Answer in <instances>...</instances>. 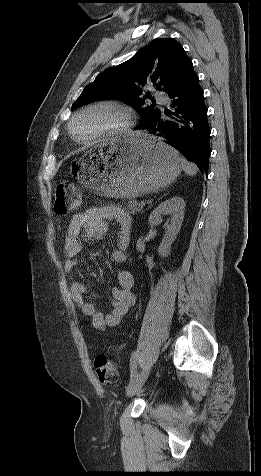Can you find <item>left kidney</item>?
Returning a JSON list of instances; mask_svg holds the SVG:
<instances>
[{"mask_svg":"<svg viewBox=\"0 0 261 476\" xmlns=\"http://www.w3.org/2000/svg\"><path fill=\"white\" fill-rule=\"evenodd\" d=\"M185 205L183 198L174 196L161 202L149 216V224L156 226L161 224L163 215H171V219L164 225L166 232L157 250L160 257L164 258L170 254L171 245L181 229Z\"/></svg>","mask_w":261,"mask_h":476,"instance_id":"1","label":"left kidney"}]
</instances>
